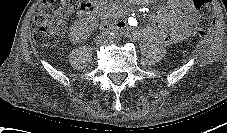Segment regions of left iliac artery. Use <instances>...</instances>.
Segmentation results:
<instances>
[{
  "mask_svg": "<svg viewBox=\"0 0 227 133\" xmlns=\"http://www.w3.org/2000/svg\"><path fill=\"white\" fill-rule=\"evenodd\" d=\"M120 41V38H119V35H116V37H115V42H119Z\"/></svg>",
  "mask_w": 227,
  "mask_h": 133,
  "instance_id": "1",
  "label": "left iliac artery"
}]
</instances>
